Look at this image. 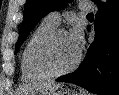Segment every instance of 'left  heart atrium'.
I'll return each mask as SVG.
<instances>
[{"instance_id": "left-heart-atrium-1", "label": "left heart atrium", "mask_w": 119, "mask_h": 95, "mask_svg": "<svg viewBox=\"0 0 119 95\" xmlns=\"http://www.w3.org/2000/svg\"><path fill=\"white\" fill-rule=\"evenodd\" d=\"M69 38L74 47L79 50L82 44V32L79 26H75L69 33Z\"/></svg>"}]
</instances>
